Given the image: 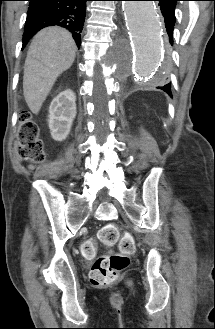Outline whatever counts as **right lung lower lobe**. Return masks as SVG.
Returning a JSON list of instances; mask_svg holds the SVG:
<instances>
[{"instance_id":"98d812e1","label":"right lung lower lobe","mask_w":215,"mask_h":329,"mask_svg":"<svg viewBox=\"0 0 215 329\" xmlns=\"http://www.w3.org/2000/svg\"><path fill=\"white\" fill-rule=\"evenodd\" d=\"M30 1L23 35V47L42 28L59 25L72 32L78 47L89 0H28Z\"/></svg>"}]
</instances>
